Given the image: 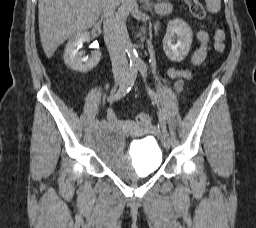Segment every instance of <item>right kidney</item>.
Masks as SVG:
<instances>
[{
  "label": "right kidney",
  "instance_id": "obj_1",
  "mask_svg": "<svg viewBox=\"0 0 256 228\" xmlns=\"http://www.w3.org/2000/svg\"><path fill=\"white\" fill-rule=\"evenodd\" d=\"M90 40V34L82 31L74 35L67 43L64 62L74 71L86 73L92 70L100 61L101 53L95 51L91 57H84L79 47L86 41Z\"/></svg>",
  "mask_w": 256,
  "mask_h": 228
}]
</instances>
